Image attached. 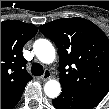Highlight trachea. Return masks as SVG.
Returning a JSON list of instances; mask_svg holds the SVG:
<instances>
[{"mask_svg":"<svg viewBox=\"0 0 109 109\" xmlns=\"http://www.w3.org/2000/svg\"><path fill=\"white\" fill-rule=\"evenodd\" d=\"M31 71L34 76H41L44 73L43 67L39 63L32 64Z\"/></svg>","mask_w":109,"mask_h":109,"instance_id":"obj_1","label":"trachea"}]
</instances>
